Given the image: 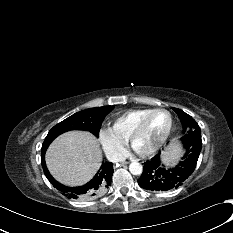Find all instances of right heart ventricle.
Masks as SVG:
<instances>
[{
  "instance_id": "1",
  "label": "right heart ventricle",
  "mask_w": 233,
  "mask_h": 233,
  "mask_svg": "<svg viewBox=\"0 0 233 233\" xmlns=\"http://www.w3.org/2000/svg\"><path fill=\"white\" fill-rule=\"evenodd\" d=\"M150 110V108H140L126 111L113 120L108 132L124 145L127 144L138 121Z\"/></svg>"
}]
</instances>
